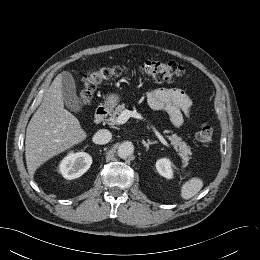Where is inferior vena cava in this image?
<instances>
[{"mask_svg": "<svg viewBox=\"0 0 260 260\" xmlns=\"http://www.w3.org/2000/svg\"><path fill=\"white\" fill-rule=\"evenodd\" d=\"M111 139H112V134L107 129H100L93 136V140L96 144H106Z\"/></svg>", "mask_w": 260, "mask_h": 260, "instance_id": "inferior-vena-cava-1", "label": "inferior vena cava"}]
</instances>
